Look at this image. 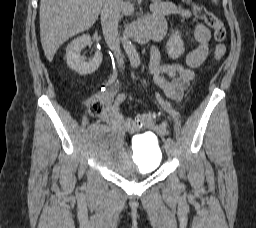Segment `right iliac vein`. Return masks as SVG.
Instances as JSON below:
<instances>
[{
    "mask_svg": "<svg viewBox=\"0 0 256 228\" xmlns=\"http://www.w3.org/2000/svg\"><path fill=\"white\" fill-rule=\"evenodd\" d=\"M95 133H96V130H95V129H89V130H88V138H89V139H92L93 136L95 135Z\"/></svg>",
    "mask_w": 256,
    "mask_h": 228,
    "instance_id": "right-iliac-vein-1",
    "label": "right iliac vein"
}]
</instances>
